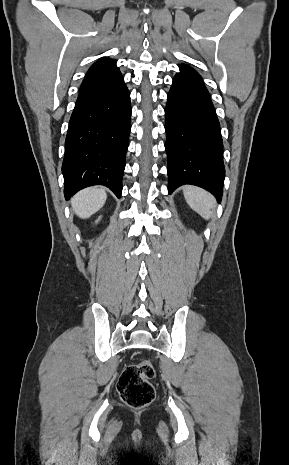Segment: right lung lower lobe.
<instances>
[{"mask_svg": "<svg viewBox=\"0 0 289 465\" xmlns=\"http://www.w3.org/2000/svg\"><path fill=\"white\" fill-rule=\"evenodd\" d=\"M130 116V93L123 77L102 88L80 91L65 140L66 200L92 185L107 186L121 197Z\"/></svg>", "mask_w": 289, "mask_h": 465, "instance_id": "98d812e1", "label": "right lung lower lobe"}]
</instances>
